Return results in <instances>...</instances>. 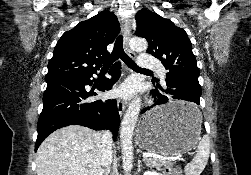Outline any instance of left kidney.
Instances as JSON below:
<instances>
[{
  "instance_id": "5707ae66",
  "label": "left kidney",
  "mask_w": 251,
  "mask_h": 175,
  "mask_svg": "<svg viewBox=\"0 0 251 175\" xmlns=\"http://www.w3.org/2000/svg\"><path fill=\"white\" fill-rule=\"evenodd\" d=\"M144 175H162V173H158V171H144Z\"/></svg>"
}]
</instances>
